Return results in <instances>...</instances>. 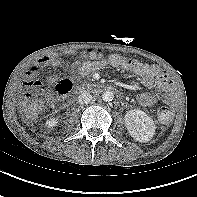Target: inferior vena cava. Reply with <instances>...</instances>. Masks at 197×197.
<instances>
[{"label":"inferior vena cava","mask_w":197,"mask_h":197,"mask_svg":"<svg viewBox=\"0 0 197 197\" xmlns=\"http://www.w3.org/2000/svg\"><path fill=\"white\" fill-rule=\"evenodd\" d=\"M91 100H92V95L86 92H82L78 97V102L80 104H88Z\"/></svg>","instance_id":"inferior-vena-cava-1"}]
</instances>
